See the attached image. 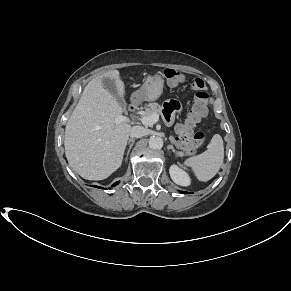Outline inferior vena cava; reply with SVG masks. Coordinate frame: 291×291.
Returning <instances> with one entry per match:
<instances>
[{"mask_svg": "<svg viewBox=\"0 0 291 291\" xmlns=\"http://www.w3.org/2000/svg\"><path fill=\"white\" fill-rule=\"evenodd\" d=\"M147 134V129L142 126H134L131 128L130 137L131 138H140Z\"/></svg>", "mask_w": 291, "mask_h": 291, "instance_id": "1", "label": "inferior vena cava"}]
</instances>
